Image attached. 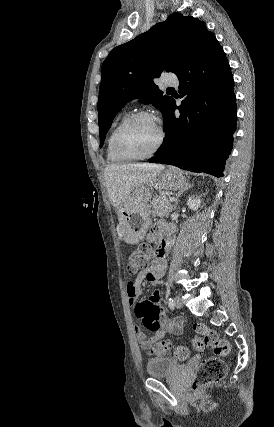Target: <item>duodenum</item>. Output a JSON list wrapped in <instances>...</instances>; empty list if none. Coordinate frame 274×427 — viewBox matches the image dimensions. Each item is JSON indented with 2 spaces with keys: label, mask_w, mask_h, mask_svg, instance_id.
I'll use <instances>...</instances> for the list:
<instances>
[{
  "label": "duodenum",
  "mask_w": 274,
  "mask_h": 427,
  "mask_svg": "<svg viewBox=\"0 0 274 427\" xmlns=\"http://www.w3.org/2000/svg\"><path fill=\"white\" fill-rule=\"evenodd\" d=\"M171 231L172 229L170 226H167L161 230L160 243L157 250L155 251V257L157 259L163 258L169 252Z\"/></svg>",
  "instance_id": "410a0bca"
}]
</instances>
